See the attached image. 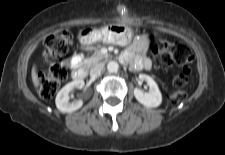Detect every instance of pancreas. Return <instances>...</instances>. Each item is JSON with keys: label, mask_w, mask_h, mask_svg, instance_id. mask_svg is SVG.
<instances>
[{"label": "pancreas", "mask_w": 225, "mask_h": 155, "mask_svg": "<svg viewBox=\"0 0 225 155\" xmlns=\"http://www.w3.org/2000/svg\"><path fill=\"white\" fill-rule=\"evenodd\" d=\"M105 57L106 56L101 54L100 51H96L90 58L86 59L85 64L87 67H90V66L96 64L97 62L101 61Z\"/></svg>", "instance_id": "1"}]
</instances>
